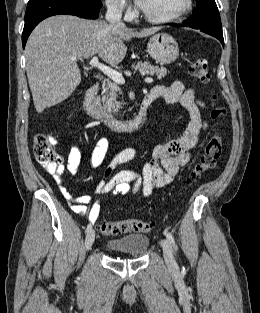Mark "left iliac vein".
<instances>
[{"label": "left iliac vein", "mask_w": 260, "mask_h": 313, "mask_svg": "<svg viewBox=\"0 0 260 313\" xmlns=\"http://www.w3.org/2000/svg\"><path fill=\"white\" fill-rule=\"evenodd\" d=\"M165 262L169 268H175L176 262L173 256V249L169 241L163 239L161 241Z\"/></svg>", "instance_id": "1"}]
</instances>
